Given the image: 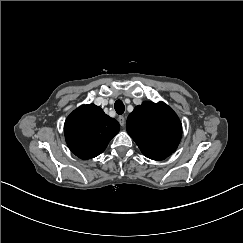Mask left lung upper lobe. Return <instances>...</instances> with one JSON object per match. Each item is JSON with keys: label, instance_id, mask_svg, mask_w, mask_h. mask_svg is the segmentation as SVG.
<instances>
[{"label": "left lung upper lobe", "instance_id": "5c2ea615", "mask_svg": "<svg viewBox=\"0 0 243 243\" xmlns=\"http://www.w3.org/2000/svg\"><path fill=\"white\" fill-rule=\"evenodd\" d=\"M126 129L142 153L163 160L178 147L182 125L176 113L165 103L145 101L129 114Z\"/></svg>", "mask_w": 243, "mask_h": 243}]
</instances>
